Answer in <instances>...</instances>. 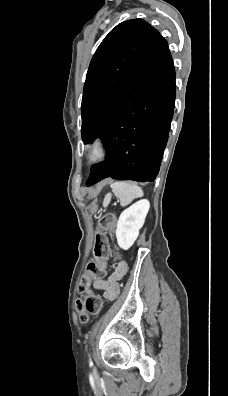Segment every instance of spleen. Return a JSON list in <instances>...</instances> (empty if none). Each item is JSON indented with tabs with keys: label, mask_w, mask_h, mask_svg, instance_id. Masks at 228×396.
<instances>
[{
	"label": "spleen",
	"mask_w": 228,
	"mask_h": 396,
	"mask_svg": "<svg viewBox=\"0 0 228 396\" xmlns=\"http://www.w3.org/2000/svg\"><path fill=\"white\" fill-rule=\"evenodd\" d=\"M113 194L119 198L120 205L125 207L129 205L134 199L143 196L142 189L133 183L129 182H115L111 185ZM111 194H108L104 199V206L107 207L111 200Z\"/></svg>",
	"instance_id": "spleen-1"
}]
</instances>
